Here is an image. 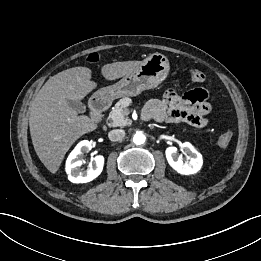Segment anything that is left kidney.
<instances>
[{
  "mask_svg": "<svg viewBox=\"0 0 261 261\" xmlns=\"http://www.w3.org/2000/svg\"><path fill=\"white\" fill-rule=\"evenodd\" d=\"M182 148L190 154V160L184 163L183 159L178 155L177 148L171 146L165 150L169 165L182 175L197 173L203 164L202 155L189 142L183 143Z\"/></svg>",
  "mask_w": 261,
  "mask_h": 261,
  "instance_id": "1",
  "label": "left kidney"
}]
</instances>
